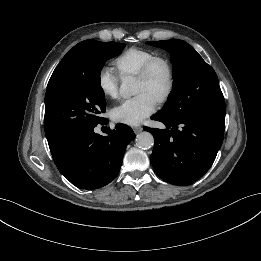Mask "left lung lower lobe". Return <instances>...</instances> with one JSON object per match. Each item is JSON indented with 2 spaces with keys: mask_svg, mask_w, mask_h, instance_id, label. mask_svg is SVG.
Wrapping results in <instances>:
<instances>
[{
  "mask_svg": "<svg viewBox=\"0 0 261 261\" xmlns=\"http://www.w3.org/2000/svg\"><path fill=\"white\" fill-rule=\"evenodd\" d=\"M153 119L166 129L145 127L154 136L151 162L156 174L175 185H189L213 164L221 147L225 111H209L180 119L156 113ZM181 128H178V127Z\"/></svg>",
  "mask_w": 261,
  "mask_h": 261,
  "instance_id": "obj_1",
  "label": "left lung lower lobe"
}]
</instances>
